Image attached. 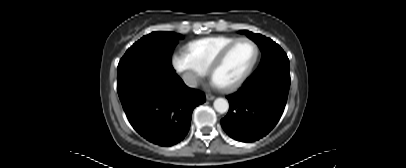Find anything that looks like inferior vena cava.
<instances>
[{
	"instance_id": "1",
	"label": "inferior vena cava",
	"mask_w": 406,
	"mask_h": 168,
	"mask_svg": "<svg viewBox=\"0 0 406 168\" xmlns=\"http://www.w3.org/2000/svg\"><path fill=\"white\" fill-rule=\"evenodd\" d=\"M183 81L191 88H195L198 85V78L192 73H185L183 75Z\"/></svg>"
}]
</instances>
